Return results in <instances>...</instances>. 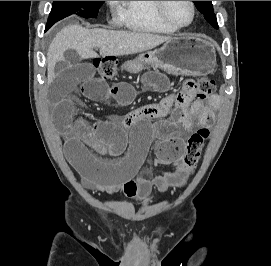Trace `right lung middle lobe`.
Returning a JSON list of instances; mask_svg holds the SVG:
<instances>
[{
	"instance_id": "right-lung-middle-lobe-1",
	"label": "right lung middle lobe",
	"mask_w": 271,
	"mask_h": 266,
	"mask_svg": "<svg viewBox=\"0 0 271 266\" xmlns=\"http://www.w3.org/2000/svg\"><path fill=\"white\" fill-rule=\"evenodd\" d=\"M104 1H54L46 25L48 30L57 21L76 13L84 18H95Z\"/></svg>"
}]
</instances>
